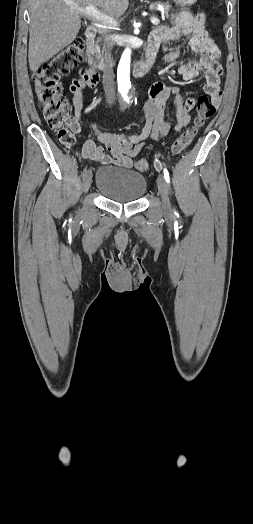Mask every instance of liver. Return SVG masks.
<instances>
[{"label":"liver","instance_id":"6515ba94","mask_svg":"<svg viewBox=\"0 0 253 524\" xmlns=\"http://www.w3.org/2000/svg\"><path fill=\"white\" fill-rule=\"evenodd\" d=\"M94 5L111 17L122 16L128 0H30L28 61L31 71L51 59L76 38L81 20L72 6Z\"/></svg>","mask_w":253,"mask_h":524}]
</instances>
